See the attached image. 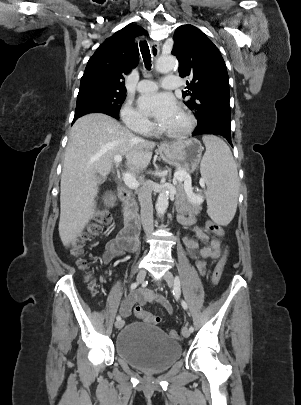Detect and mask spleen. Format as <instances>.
Here are the masks:
<instances>
[{"instance_id": "obj_1", "label": "spleen", "mask_w": 301, "mask_h": 405, "mask_svg": "<svg viewBox=\"0 0 301 405\" xmlns=\"http://www.w3.org/2000/svg\"><path fill=\"white\" fill-rule=\"evenodd\" d=\"M206 147L200 172L207 184L208 214L216 223L228 225L233 219L239 193L237 167L227 144L219 137L203 136Z\"/></svg>"}]
</instances>
